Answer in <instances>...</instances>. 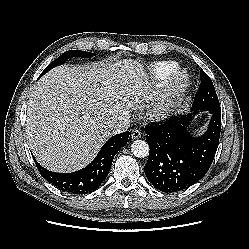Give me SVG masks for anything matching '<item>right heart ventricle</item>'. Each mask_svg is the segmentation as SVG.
<instances>
[{
    "label": "right heart ventricle",
    "instance_id": "1",
    "mask_svg": "<svg viewBox=\"0 0 249 249\" xmlns=\"http://www.w3.org/2000/svg\"><path fill=\"white\" fill-rule=\"evenodd\" d=\"M178 68L174 61H160L152 64L150 72L158 84L163 83Z\"/></svg>",
    "mask_w": 249,
    "mask_h": 249
}]
</instances>
